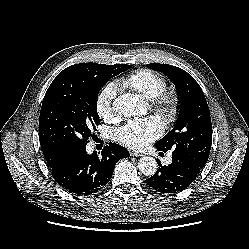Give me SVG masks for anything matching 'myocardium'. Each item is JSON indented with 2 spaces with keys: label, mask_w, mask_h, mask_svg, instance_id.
<instances>
[{
  "label": "myocardium",
  "mask_w": 249,
  "mask_h": 249,
  "mask_svg": "<svg viewBox=\"0 0 249 249\" xmlns=\"http://www.w3.org/2000/svg\"><path fill=\"white\" fill-rule=\"evenodd\" d=\"M150 107L163 116L167 123L175 121L178 113L180 98L174 89H164L149 99Z\"/></svg>",
  "instance_id": "1"
}]
</instances>
